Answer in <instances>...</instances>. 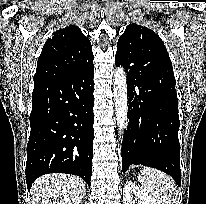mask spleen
<instances>
[{"label": "spleen", "instance_id": "1", "mask_svg": "<svg viewBox=\"0 0 206 204\" xmlns=\"http://www.w3.org/2000/svg\"><path fill=\"white\" fill-rule=\"evenodd\" d=\"M143 190L156 204H177L175 182L166 173L151 167H144L139 174Z\"/></svg>", "mask_w": 206, "mask_h": 204}]
</instances>
